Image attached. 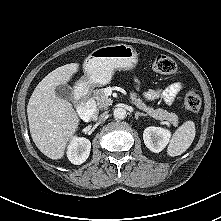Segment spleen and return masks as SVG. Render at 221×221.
Segmentation results:
<instances>
[{
    "mask_svg": "<svg viewBox=\"0 0 221 221\" xmlns=\"http://www.w3.org/2000/svg\"><path fill=\"white\" fill-rule=\"evenodd\" d=\"M196 134L195 124L188 120L184 122L173 134L167 148L169 156H179L192 144Z\"/></svg>",
    "mask_w": 221,
    "mask_h": 221,
    "instance_id": "3e777b00",
    "label": "spleen"
}]
</instances>
